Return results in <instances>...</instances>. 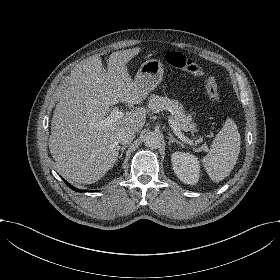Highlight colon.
<instances>
[{
    "mask_svg": "<svg viewBox=\"0 0 280 280\" xmlns=\"http://www.w3.org/2000/svg\"><path fill=\"white\" fill-rule=\"evenodd\" d=\"M166 59L170 65L181 68L187 71L190 75H196L201 73V68L198 62L193 61L185 54H178L175 50H170L166 54ZM205 86L208 98L212 102L220 101V93L215 79L212 76H207L205 78Z\"/></svg>",
    "mask_w": 280,
    "mask_h": 280,
    "instance_id": "colon-1",
    "label": "colon"
}]
</instances>
